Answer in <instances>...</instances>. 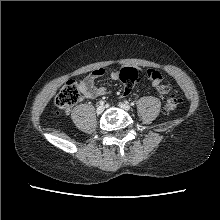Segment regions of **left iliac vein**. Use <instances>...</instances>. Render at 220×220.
Listing matches in <instances>:
<instances>
[{
  "label": "left iliac vein",
  "mask_w": 220,
  "mask_h": 220,
  "mask_svg": "<svg viewBox=\"0 0 220 220\" xmlns=\"http://www.w3.org/2000/svg\"><path fill=\"white\" fill-rule=\"evenodd\" d=\"M119 107L125 111H129L130 110V105L127 103H119Z\"/></svg>",
  "instance_id": "1"
}]
</instances>
